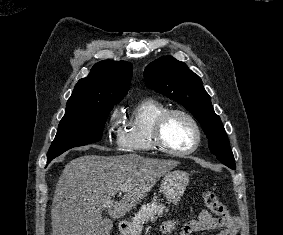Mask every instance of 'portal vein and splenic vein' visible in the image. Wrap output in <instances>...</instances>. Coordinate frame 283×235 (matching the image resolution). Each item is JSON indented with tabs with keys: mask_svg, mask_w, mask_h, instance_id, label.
Instances as JSON below:
<instances>
[{
	"mask_svg": "<svg viewBox=\"0 0 283 235\" xmlns=\"http://www.w3.org/2000/svg\"><path fill=\"white\" fill-rule=\"evenodd\" d=\"M128 188L126 186H121L120 187V194L121 193H124V192H127Z\"/></svg>",
	"mask_w": 283,
	"mask_h": 235,
	"instance_id": "1",
	"label": "portal vein and splenic vein"
}]
</instances>
